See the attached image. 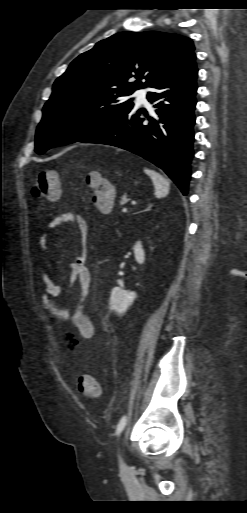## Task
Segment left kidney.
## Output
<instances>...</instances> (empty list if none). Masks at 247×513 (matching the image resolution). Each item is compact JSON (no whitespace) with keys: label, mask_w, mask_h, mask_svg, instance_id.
I'll list each match as a JSON object with an SVG mask.
<instances>
[{"label":"left kidney","mask_w":247,"mask_h":513,"mask_svg":"<svg viewBox=\"0 0 247 513\" xmlns=\"http://www.w3.org/2000/svg\"><path fill=\"white\" fill-rule=\"evenodd\" d=\"M135 260L139 264H143L145 261V252L140 241L136 242L133 247ZM136 298V293L133 291H126L121 287H115L112 289L110 297V307L113 311L118 314H124L128 307L132 305Z\"/></svg>","instance_id":"left-kidney-1"}]
</instances>
